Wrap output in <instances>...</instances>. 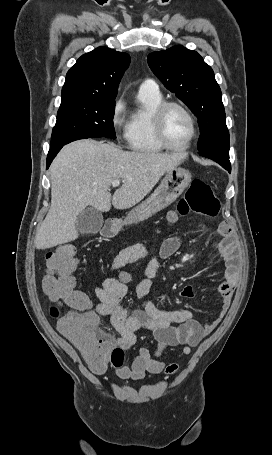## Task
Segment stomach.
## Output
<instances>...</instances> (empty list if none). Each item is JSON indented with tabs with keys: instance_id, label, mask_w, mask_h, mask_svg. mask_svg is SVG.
<instances>
[{
	"instance_id": "1",
	"label": "stomach",
	"mask_w": 272,
	"mask_h": 455,
	"mask_svg": "<svg viewBox=\"0 0 272 455\" xmlns=\"http://www.w3.org/2000/svg\"><path fill=\"white\" fill-rule=\"evenodd\" d=\"M191 174L188 170L176 167L166 172L165 177L155 191L141 204L132 209L126 219L113 222L115 231H120L124 225L144 221L172 204L188 187Z\"/></svg>"
}]
</instances>
